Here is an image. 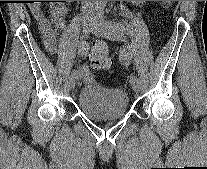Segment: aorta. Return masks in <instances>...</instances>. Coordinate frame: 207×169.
Segmentation results:
<instances>
[{
	"label": "aorta",
	"mask_w": 207,
	"mask_h": 169,
	"mask_svg": "<svg viewBox=\"0 0 207 169\" xmlns=\"http://www.w3.org/2000/svg\"><path fill=\"white\" fill-rule=\"evenodd\" d=\"M97 4H104L106 1H95Z\"/></svg>",
	"instance_id": "aorta-1"
}]
</instances>
